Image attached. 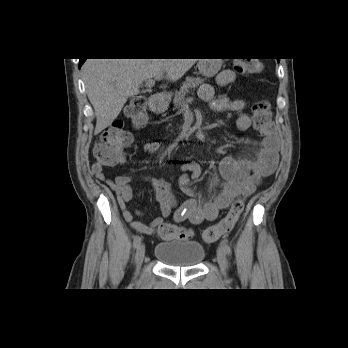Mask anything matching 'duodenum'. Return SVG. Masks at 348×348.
<instances>
[{"mask_svg": "<svg viewBox=\"0 0 348 348\" xmlns=\"http://www.w3.org/2000/svg\"><path fill=\"white\" fill-rule=\"evenodd\" d=\"M149 105L152 111H161L163 108V98L160 95L150 97Z\"/></svg>", "mask_w": 348, "mask_h": 348, "instance_id": "duodenum-1", "label": "duodenum"}]
</instances>
